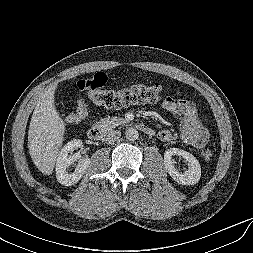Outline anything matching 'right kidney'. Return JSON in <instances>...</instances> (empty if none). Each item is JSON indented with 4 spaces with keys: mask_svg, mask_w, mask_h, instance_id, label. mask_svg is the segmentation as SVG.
<instances>
[{
    "mask_svg": "<svg viewBox=\"0 0 253 253\" xmlns=\"http://www.w3.org/2000/svg\"><path fill=\"white\" fill-rule=\"evenodd\" d=\"M82 141L80 139H74L68 142L58 154L56 160V178L58 182L64 186H71L76 184L82 176L85 174L91 161L89 158L80 159V155H69L70 152L80 148ZM78 159V164L73 173H68L67 168L74 164Z\"/></svg>",
    "mask_w": 253,
    "mask_h": 253,
    "instance_id": "right-kidney-1",
    "label": "right kidney"
}]
</instances>
